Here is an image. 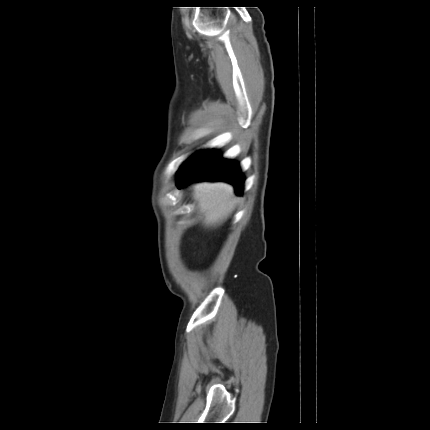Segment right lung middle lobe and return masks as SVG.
<instances>
[{"mask_svg": "<svg viewBox=\"0 0 430 430\" xmlns=\"http://www.w3.org/2000/svg\"><path fill=\"white\" fill-rule=\"evenodd\" d=\"M206 152H207V150H203V151H200V152L194 154L180 167L179 171L182 170L184 167H187V166L191 165L192 163H194L198 158H200Z\"/></svg>", "mask_w": 430, "mask_h": 430, "instance_id": "dd1d6c3e", "label": "right lung middle lobe"}]
</instances>
